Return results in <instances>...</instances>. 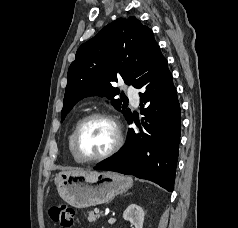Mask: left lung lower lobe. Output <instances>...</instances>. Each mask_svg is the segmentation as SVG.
<instances>
[{
    "instance_id": "0a47b994",
    "label": "left lung lower lobe",
    "mask_w": 238,
    "mask_h": 228,
    "mask_svg": "<svg viewBox=\"0 0 238 228\" xmlns=\"http://www.w3.org/2000/svg\"><path fill=\"white\" fill-rule=\"evenodd\" d=\"M142 122L146 133L128 130L124 147L97 165L95 170H109L150 180L173 191L180 141V105L168 63L158 48L147 63L137 86ZM144 104H148L144 108ZM136 122L134 114L127 119Z\"/></svg>"
}]
</instances>
